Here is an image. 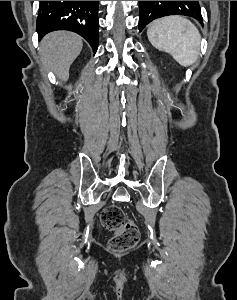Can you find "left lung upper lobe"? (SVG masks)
<instances>
[{
  "instance_id": "left-lung-upper-lobe-1",
  "label": "left lung upper lobe",
  "mask_w": 237,
  "mask_h": 300,
  "mask_svg": "<svg viewBox=\"0 0 237 300\" xmlns=\"http://www.w3.org/2000/svg\"><path fill=\"white\" fill-rule=\"evenodd\" d=\"M139 30L149 22L167 15H185L197 19L202 24L198 1H139Z\"/></svg>"
}]
</instances>
